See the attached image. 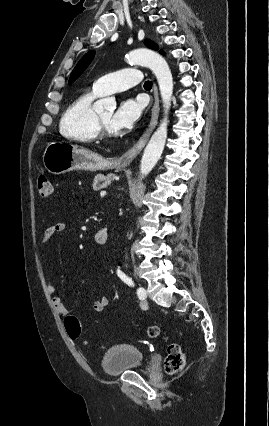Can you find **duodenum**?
<instances>
[{"label": "duodenum", "mask_w": 269, "mask_h": 426, "mask_svg": "<svg viewBox=\"0 0 269 426\" xmlns=\"http://www.w3.org/2000/svg\"><path fill=\"white\" fill-rule=\"evenodd\" d=\"M95 240L98 244L100 245H104L108 242L109 240V230L107 227L102 228L101 230H99L96 235H95Z\"/></svg>", "instance_id": "duodenum-1"}]
</instances>
